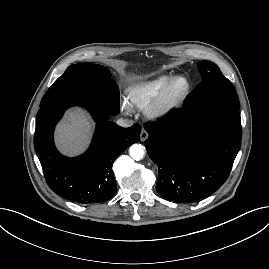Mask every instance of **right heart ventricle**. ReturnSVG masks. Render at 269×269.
Wrapping results in <instances>:
<instances>
[{
    "label": "right heart ventricle",
    "instance_id": "right-heart-ventricle-1",
    "mask_svg": "<svg viewBox=\"0 0 269 269\" xmlns=\"http://www.w3.org/2000/svg\"><path fill=\"white\" fill-rule=\"evenodd\" d=\"M170 78L171 75L163 74L131 84L126 89L127 104L138 109L147 108Z\"/></svg>",
    "mask_w": 269,
    "mask_h": 269
}]
</instances>
